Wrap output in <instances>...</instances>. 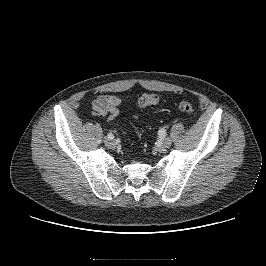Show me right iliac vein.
Instances as JSON below:
<instances>
[{"label": "right iliac vein", "instance_id": "1", "mask_svg": "<svg viewBox=\"0 0 266 266\" xmlns=\"http://www.w3.org/2000/svg\"><path fill=\"white\" fill-rule=\"evenodd\" d=\"M104 142H105V145H106L108 148H114V147H115V142H114V140H111V139L106 138V139L104 140Z\"/></svg>", "mask_w": 266, "mask_h": 266}]
</instances>
